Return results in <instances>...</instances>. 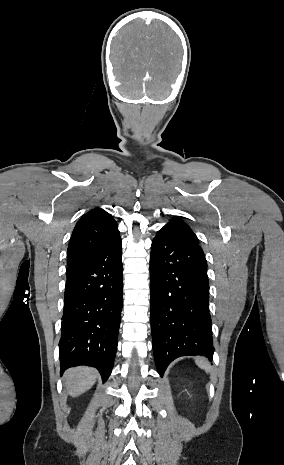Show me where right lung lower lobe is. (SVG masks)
<instances>
[{"label":"right lung lower lobe","instance_id":"right-lung-lower-lobe-1","mask_svg":"<svg viewBox=\"0 0 284 465\" xmlns=\"http://www.w3.org/2000/svg\"><path fill=\"white\" fill-rule=\"evenodd\" d=\"M121 238L67 267L59 354L69 367H95L105 381L113 368L122 310Z\"/></svg>","mask_w":284,"mask_h":465}]
</instances>
